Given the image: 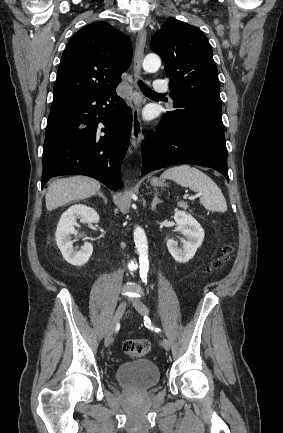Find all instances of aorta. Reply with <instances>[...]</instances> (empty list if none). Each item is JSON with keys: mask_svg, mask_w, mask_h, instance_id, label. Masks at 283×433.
I'll return each mask as SVG.
<instances>
[{"mask_svg": "<svg viewBox=\"0 0 283 433\" xmlns=\"http://www.w3.org/2000/svg\"><path fill=\"white\" fill-rule=\"evenodd\" d=\"M142 66L146 72L153 73L160 68L161 60L158 55L150 53L144 58ZM134 242L139 255L140 274L145 279L149 270L148 243L145 232L140 226L134 229Z\"/></svg>", "mask_w": 283, "mask_h": 433, "instance_id": "1", "label": "aorta"}]
</instances>
